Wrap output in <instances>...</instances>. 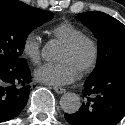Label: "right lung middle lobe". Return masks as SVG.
Segmentation results:
<instances>
[{
    "mask_svg": "<svg viewBox=\"0 0 125 125\" xmlns=\"http://www.w3.org/2000/svg\"><path fill=\"white\" fill-rule=\"evenodd\" d=\"M54 14L38 8L18 13L9 5L0 4V60L10 66L20 65L28 34L36 27L51 20Z\"/></svg>",
    "mask_w": 125,
    "mask_h": 125,
    "instance_id": "obj_1",
    "label": "right lung middle lobe"
}]
</instances>
